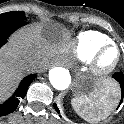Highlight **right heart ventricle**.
Here are the masks:
<instances>
[{
    "mask_svg": "<svg viewBox=\"0 0 124 124\" xmlns=\"http://www.w3.org/2000/svg\"><path fill=\"white\" fill-rule=\"evenodd\" d=\"M110 42L112 40L107 34L86 30L78 33L69 41V50L78 61L88 62L99 47Z\"/></svg>",
    "mask_w": 124,
    "mask_h": 124,
    "instance_id": "obj_1",
    "label": "right heart ventricle"
}]
</instances>
